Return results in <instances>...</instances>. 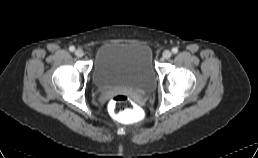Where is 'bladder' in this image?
I'll list each match as a JSON object with an SVG mask.
<instances>
[{
	"instance_id": "31cf9c89",
	"label": "bladder",
	"mask_w": 258,
	"mask_h": 158,
	"mask_svg": "<svg viewBox=\"0 0 258 158\" xmlns=\"http://www.w3.org/2000/svg\"><path fill=\"white\" fill-rule=\"evenodd\" d=\"M92 78L100 89L123 86L150 92L156 84L152 50L142 43L102 44L94 56Z\"/></svg>"
}]
</instances>
